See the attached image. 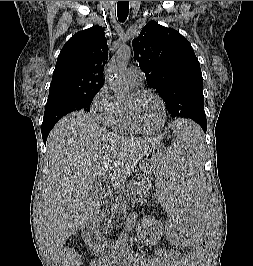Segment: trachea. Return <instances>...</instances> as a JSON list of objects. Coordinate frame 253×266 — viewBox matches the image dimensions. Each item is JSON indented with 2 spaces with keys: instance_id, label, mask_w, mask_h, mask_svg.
<instances>
[{
  "instance_id": "obj_1",
  "label": "trachea",
  "mask_w": 253,
  "mask_h": 266,
  "mask_svg": "<svg viewBox=\"0 0 253 266\" xmlns=\"http://www.w3.org/2000/svg\"><path fill=\"white\" fill-rule=\"evenodd\" d=\"M129 13V1H118L117 2V16L120 22H124Z\"/></svg>"
}]
</instances>
